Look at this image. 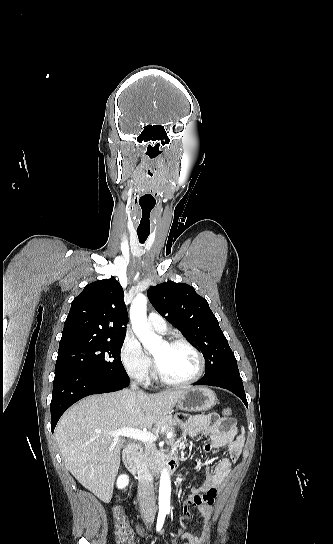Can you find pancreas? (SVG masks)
Instances as JSON below:
<instances>
[{"label":"pancreas","mask_w":333,"mask_h":544,"mask_svg":"<svg viewBox=\"0 0 333 544\" xmlns=\"http://www.w3.org/2000/svg\"><path fill=\"white\" fill-rule=\"evenodd\" d=\"M173 425L174 420L172 416H166L156 423L155 429H162L164 426V431L168 432L173 430ZM137 448L139 449V454L142 455L146 463H152L154 461L158 452L154 443L144 442L143 444L137 445Z\"/></svg>","instance_id":"obj_1"}]
</instances>
